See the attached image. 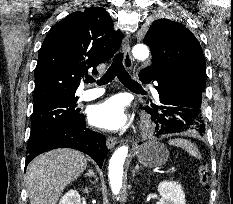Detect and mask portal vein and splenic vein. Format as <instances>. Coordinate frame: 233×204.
Instances as JSON below:
<instances>
[{"instance_id":"1","label":"portal vein and splenic vein","mask_w":233,"mask_h":204,"mask_svg":"<svg viewBox=\"0 0 233 204\" xmlns=\"http://www.w3.org/2000/svg\"><path fill=\"white\" fill-rule=\"evenodd\" d=\"M170 171H171V172L175 171V167L171 168Z\"/></svg>"}]
</instances>
